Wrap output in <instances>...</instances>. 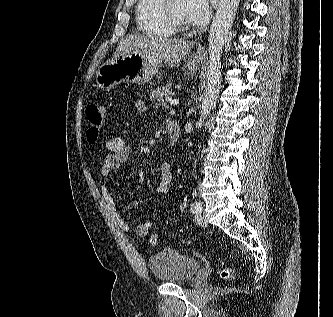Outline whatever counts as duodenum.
Instances as JSON below:
<instances>
[{
	"label": "duodenum",
	"mask_w": 333,
	"mask_h": 317,
	"mask_svg": "<svg viewBox=\"0 0 333 317\" xmlns=\"http://www.w3.org/2000/svg\"><path fill=\"white\" fill-rule=\"evenodd\" d=\"M167 131L170 139V144L172 146L176 145L181 135V128L179 123H177L176 121H169L167 123Z\"/></svg>",
	"instance_id": "obj_1"
}]
</instances>
